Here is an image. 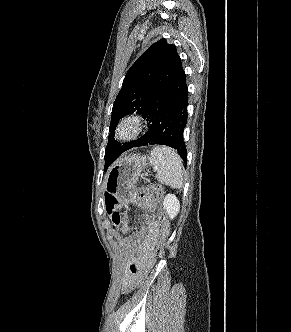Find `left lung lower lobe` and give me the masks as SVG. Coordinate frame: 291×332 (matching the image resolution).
I'll return each mask as SVG.
<instances>
[{"label":"left lung lower lobe","instance_id":"1","mask_svg":"<svg viewBox=\"0 0 291 332\" xmlns=\"http://www.w3.org/2000/svg\"><path fill=\"white\" fill-rule=\"evenodd\" d=\"M188 87L186 74L180 62L163 90L153 99L144 118L150 123L149 131L140 139L124 145L107 162L105 169L124 151L148 144L172 147L186 162L187 150L183 132L187 123Z\"/></svg>","mask_w":291,"mask_h":332}]
</instances>
